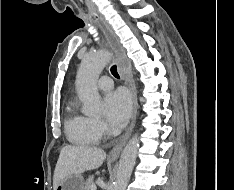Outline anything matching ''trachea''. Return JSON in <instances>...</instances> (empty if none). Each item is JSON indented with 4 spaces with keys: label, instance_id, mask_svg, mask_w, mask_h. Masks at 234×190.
I'll return each instance as SVG.
<instances>
[{
    "label": "trachea",
    "instance_id": "3493384b",
    "mask_svg": "<svg viewBox=\"0 0 234 190\" xmlns=\"http://www.w3.org/2000/svg\"><path fill=\"white\" fill-rule=\"evenodd\" d=\"M111 73H112V75H113L114 77L120 78V76H119V74H118V72H117L116 65H114V66L111 67Z\"/></svg>",
    "mask_w": 234,
    "mask_h": 190
}]
</instances>
